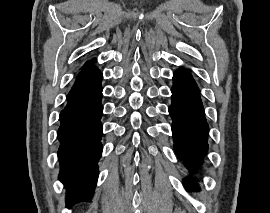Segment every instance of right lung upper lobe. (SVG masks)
<instances>
[{
    "label": "right lung upper lobe",
    "instance_id": "right-lung-upper-lobe-1",
    "mask_svg": "<svg viewBox=\"0 0 270 213\" xmlns=\"http://www.w3.org/2000/svg\"><path fill=\"white\" fill-rule=\"evenodd\" d=\"M94 62H95V59H92V60H90V61H87V62L84 64L83 68L85 69V68L91 67V64L94 63Z\"/></svg>",
    "mask_w": 270,
    "mask_h": 213
}]
</instances>
